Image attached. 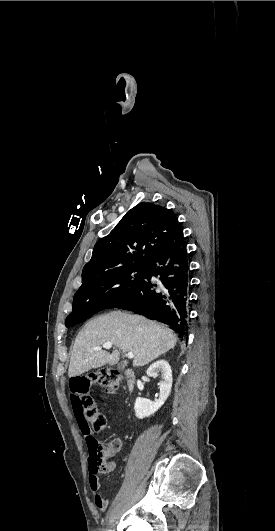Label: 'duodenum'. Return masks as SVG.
Returning a JSON list of instances; mask_svg holds the SVG:
<instances>
[{
	"label": "duodenum",
	"instance_id": "410a0bca",
	"mask_svg": "<svg viewBox=\"0 0 275 531\" xmlns=\"http://www.w3.org/2000/svg\"><path fill=\"white\" fill-rule=\"evenodd\" d=\"M124 379H125L127 389L129 391H132L136 383V376H135L134 371L132 369H126L124 371Z\"/></svg>",
	"mask_w": 275,
	"mask_h": 531
}]
</instances>
